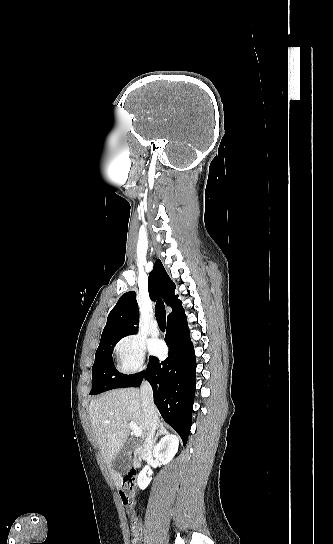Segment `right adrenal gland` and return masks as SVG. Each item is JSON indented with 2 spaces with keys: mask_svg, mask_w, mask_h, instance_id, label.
<instances>
[{
  "mask_svg": "<svg viewBox=\"0 0 333 544\" xmlns=\"http://www.w3.org/2000/svg\"><path fill=\"white\" fill-rule=\"evenodd\" d=\"M168 431L166 430V428L163 426V424H160V429H159V432L157 433L155 439H154V444H156L157 440H158V437L161 436V435H165L167 434Z\"/></svg>",
  "mask_w": 333,
  "mask_h": 544,
  "instance_id": "1",
  "label": "right adrenal gland"
}]
</instances>
